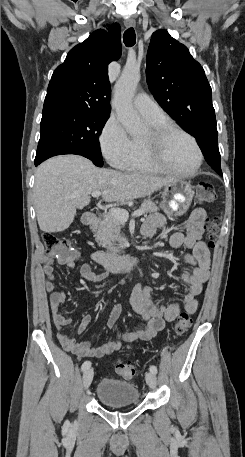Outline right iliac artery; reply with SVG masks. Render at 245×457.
I'll use <instances>...</instances> for the list:
<instances>
[{"label": "right iliac artery", "mask_w": 245, "mask_h": 457, "mask_svg": "<svg viewBox=\"0 0 245 457\" xmlns=\"http://www.w3.org/2000/svg\"><path fill=\"white\" fill-rule=\"evenodd\" d=\"M91 367V362L90 361H85L83 364H82V371H85L87 369H89Z\"/></svg>", "instance_id": "1"}]
</instances>
